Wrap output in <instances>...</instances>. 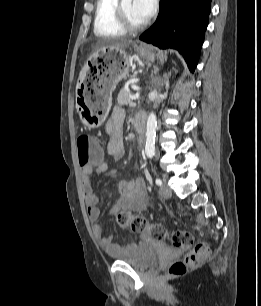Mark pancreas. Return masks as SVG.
<instances>
[{"label":"pancreas","mask_w":261,"mask_h":306,"mask_svg":"<svg viewBox=\"0 0 261 306\" xmlns=\"http://www.w3.org/2000/svg\"><path fill=\"white\" fill-rule=\"evenodd\" d=\"M131 91L129 88H122L118 94L117 102L119 105H127L131 102Z\"/></svg>","instance_id":"1"}]
</instances>
